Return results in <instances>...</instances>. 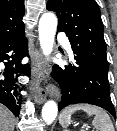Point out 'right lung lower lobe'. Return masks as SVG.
<instances>
[{"label":"right lung lower lobe","instance_id":"obj_1","mask_svg":"<svg viewBox=\"0 0 117 131\" xmlns=\"http://www.w3.org/2000/svg\"><path fill=\"white\" fill-rule=\"evenodd\" d=\"M24 32L0 43V103L7 106L15 116H19L21 106L20 74L30 75V68L21 64L28 53Z\"/></svg>","mask_w":117,"mask_h":131}]
</instances>
